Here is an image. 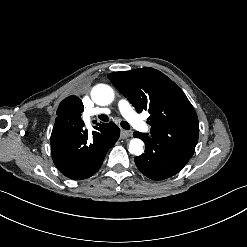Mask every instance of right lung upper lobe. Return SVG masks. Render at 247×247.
<instances>
[{"instance_id":"right-lung-upper-lobe-1","label":"right lung upper lobe","mask_w":247,"mask_h":247,"mask_svg":"<svg viewBox=\"0 0 247 247\" xmlns=\"http://www.w3.org/2000/svg\"><path fill=\"white\" fill-rule=\"evenodd\" d=\"M84 110L82 101L75 95L64 99L57 110V118L55 120L53 131L74 125L84 124L81 119V113ZM102 126L104 124H98ZM97 129V127H94Z\"/></svg>"}]
</instances>
